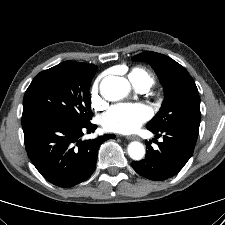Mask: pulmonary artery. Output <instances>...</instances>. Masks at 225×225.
Returning a JSON list of instances; mask_svg holds the SVG:
<instances>
[{
    "label": "pulmonary artery",
    "mask_w": 225,
    "mask_h": 225,
    "mask_svg": "<svg viewBox=\"0 0 225 225\" xmlns=\"http://www.w3.org/2000/svg\"><path fill=\"white\" fill-rule=\"evenodd\" d=\"M138 90L141 91V92H145V91H147L148 89H146V88H139Z\"/></svg>",
    "instance_id": "1"
}]
</instances>
